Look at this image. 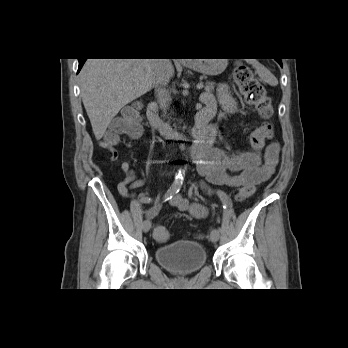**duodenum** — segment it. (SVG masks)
<instances>
[{"label": "duodenum", "instance_id": "1", "mask_svg": "<svg viewBox=\"0 0 348 348\" xmlns=\"http://www.w3.org/2000/svg\"><path fill=\"white\" fill-rule=\"evenodd\" d=\"M215 113L213 107H203L196 116V124L191 130L190 137L196 142L195 149L206 150L212 135L210 131V121ZM147 118L150 125L166 138L186 139L188 136L180 131L175 130L169 124L163 122L158 115V105L155 102L149 103L147 107Z\"/></svg>", "mask_w": 348, "mask_h": 348}]
</instances>
